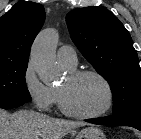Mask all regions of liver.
I'll use <instances>...</instances> for the list:
<instances>
[{"mask_svg":"<svg viewBox=\"0 0 141 139\" xmlns=\"http://www.w3.org/2000/svg\"><path fill=\"white\" fill-rule=\"evenodd\" d=\"M83 122L52 118L31 110L0 109V139H62Z\"/></svg>","mask_w":141,"mask_h":139,"instance_id":"6515ba94","label":"liver"}]
</instances>
